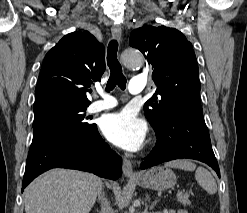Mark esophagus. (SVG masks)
<instances>
[{
    "mask_svg": "<svg viewBox=\"0 0 247 213\" xmlns=\"http://www.w3.org/2000/svg\"><path fill=\"white\" fill-rule=\"evenodd\" d=\"M111 33L115 39L121 41L122 38V30L121 27L118 25H112ZM123 173L128 178H137L138 175L133 171L132 164L130 160L124 158L123 159Z\"/></svg>",
    "mask_w": 247,
    "mask_h": 213,
    "instance_id": "1",
    "label": "esophagus"
}]
</instances>
